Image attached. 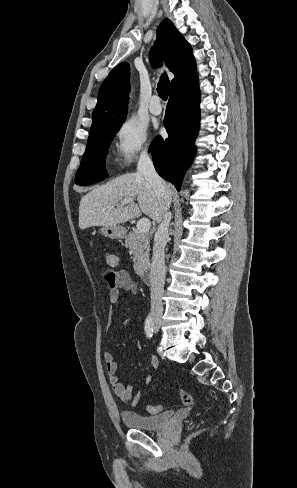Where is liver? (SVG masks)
<instances>
[{
    "label": "liver",
    "instance_id": "1",
    "mask_svg": "<svg viewBox=\"0 0 297 488\" xmlns=\"http://www.w3.org/2000/svg\"><path fill=\"white\" fill-rule=\"evenodd\" d=\"M173 188L167 186L171 197ZM126 198H137L138 205H119ZM117 205L116 208H110ZM146 214L155 222L164 215L163 199L140 173H127L93 189L82 197L79 205V228L116 226Z\"/></svg>",
    "mask_w": 297,
    "mask_h": 488
}]
</instances>
